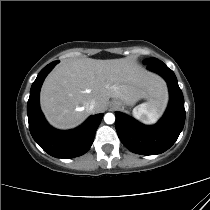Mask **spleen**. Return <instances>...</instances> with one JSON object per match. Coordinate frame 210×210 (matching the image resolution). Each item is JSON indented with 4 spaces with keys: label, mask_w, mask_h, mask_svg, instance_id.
<instances>
[{
    "label": "spleen",
    "mask_w": 210,
    "mask_h": 210,
    "mask_svg": "<svg viewBox=\"0 0 210 210\" xmlns=\"http://www.w3.org/2000/svg\"><path fill=\"white\" fill-rule=\"evenodd\" d=\"M162 108L163 104L156 101H148L134 108L133 116L146 124H153L160 116Z\"/></svg>",
    "instance_id": "3e777b00"
}]
</instances>
